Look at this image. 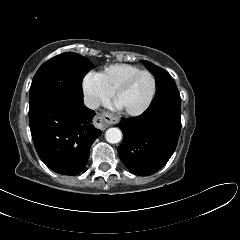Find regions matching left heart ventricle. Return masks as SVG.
Masks as SVG:
<instances>
[{"label":"left heart ventricle","instance_id":"1","mask_svg":"<svg viewBox=\"0 0 240 240\" xmlns=\"http://www.w3.org/2000/svg\"><path fill=\"white\" fill-rule=\"evenodd\" d=\"M152 90L153 80L151 76L143 74L119 97L118 102L125 109H139L147 103L152 94Z\"/></svg>","mask_w":240,"mask_h":240}]
</instances>
